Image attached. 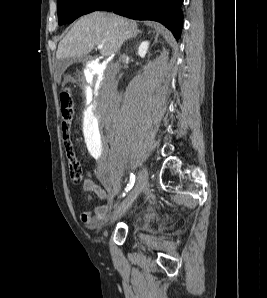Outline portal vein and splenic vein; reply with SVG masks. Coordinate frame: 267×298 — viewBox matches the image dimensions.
Returning a JSON list of instances; mask_svg holds the SVG:
<instances>
[{"label":"portal vein and splenic vein","instance_id":"obj_1","mask_svg":"<svg viewBox=\"0 0 267 298\" xmlns=\"http://www.w3.org/2000/svg\"><path fill=\"white\" fill-rule=\"evenodd\" d=\"M97 48L98 49H102L103 48V45H98Z\"/></svg>","mask_w":267,"mask_h":298}]
</instances>
